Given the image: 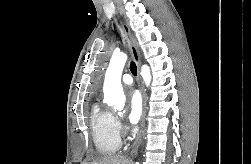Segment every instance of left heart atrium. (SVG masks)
Segmentation results:
<instances>
[{
    "instance_id": "1",
    "label": "left heart atrium",
    "mask_w": 251,
    "mask_h": 164,
    "mask_svg": "<svg viewBox=\"0 0 251 164\" xmlns=\"http://www.w3.org/2000/svg\"><path fill=\"white\" fill-rule=\"evenodd\" d=\"M142 114V100L140 94L132 90L128 93V121L135 124Z\"/></svg>"
}]
</instances>
